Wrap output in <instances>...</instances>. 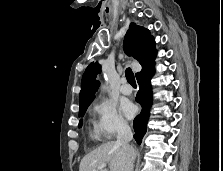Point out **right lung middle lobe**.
<instances>
[{"label": "right lung middle lobe", "instance_id": "right-lung-middle-lobe-1", "mask_svg": "<svg viewBox=\"0 0 223 171\" xmlns=\"http://www.w3.org/2000/svg\"><path fill=\"white\" fill-rule=\"evenodd\" d=\"M89 105H86V106H83V107H80L79 109V117H83L87 108H88ZM82 126V119L79 121V125L78 127L80 128Z\"/></svg>", "mask_w": 223, "mask_h": 171}]
</instances>
